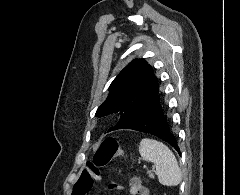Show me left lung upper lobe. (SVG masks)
Returning <instances> with one entry per match:
<instances>
[{
  "instance_id": "5c2ea615",
  "label": "left lung upper lobe",
  "mask_w": 240,
  "mask_h": 195,
  "mask_svg": "<svg viewBox=\"0 0 240 195\" xmlns=\"http://www.w3.org/2000/svg\"><path fill=\"white\" fill-rule=\"evenodd\" d=\"M109 91L108 97L97 109L96 116L119 114V122L109 129L111 131L128 124L158 94V78L145 60L135 59L113 80Z\"/></svg>"
}]
</instances>
